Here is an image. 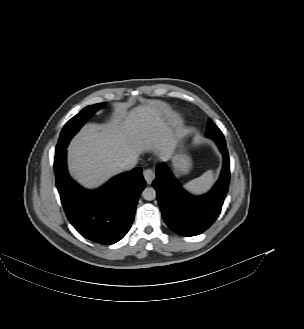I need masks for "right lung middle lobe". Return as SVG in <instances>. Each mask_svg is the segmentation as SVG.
I'll use <instances>...</instances> for the list:
<instances>
[{"label":"right lung middle lobe","mask_w":304,"mask_h":329,"mask_svg":"<svg viewBox=\"0 0 304 329\" xmlns=\"http://www.w3.org/2000/svg\"><path fill=\"white\" fill-rule=\"evenodd\" d=\"M104 106L105 103L87 106L77 115H75L72 119H70L62 129L56 147V153L66 148L71 138L79 131V129L91 117V115L94 114L97 110L103 108Z\"/></svg>","instance_id":"dd1d6c3e"}]
</instances>
